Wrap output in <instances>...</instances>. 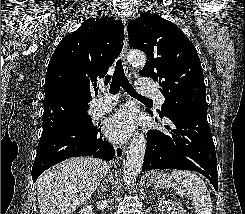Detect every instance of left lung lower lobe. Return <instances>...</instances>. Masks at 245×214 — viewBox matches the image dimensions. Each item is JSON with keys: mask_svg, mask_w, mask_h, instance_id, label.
Here are the masks:
<instances>
[{"mask_svg": "<svg viewBox=\"0 0 245 214\" xmlns=\"http://www.w3.org/2000/svg\"><path fill=\"white\" fill-rule=\"evenodd\" d=\"M168 118L176 129L167 126L169 134L159 130H149L147 133L142 171H196L203 174L218 191L216 152L207 121V110L189 109Z\"/></svg>", "mask_w": 245, "mask_h": 214, "instance_id": "0a47b994", "label": "left lung lower lobe"}]
</instances>
